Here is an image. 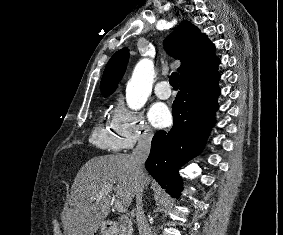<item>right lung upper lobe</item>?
I'll use <instances>...</instances> for the list:
<instances>
[{"instance_id":"1","label":"right lung upper lobe","mask_w":283,"mask_h":235,"mask_svg":"<svg viewBox=\"0 0 283 235\" xmlns=\"http://www.w3.org/2000/svg\"><path fill=\"white\" fill-rule=\"evenodd\" d=\"M167 52L181 61L180 82L191 81L217 70L220 61L215 57L214 45L205 34L188 21H182L165 40ZM128 50L117 51L109 60L100 83L104 97L112 94L122 78L128 61Z\"/></svg>"}]
</instances>
